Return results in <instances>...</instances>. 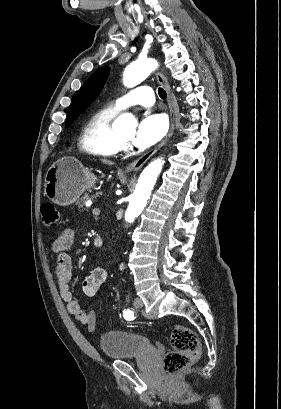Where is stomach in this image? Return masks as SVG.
<instances>
[{"mask_svg":"<svg viewBox=\"0 0 281 409\" xmlns=\"http://www.w3.org/2000/svg\"><path fill=\"white\" fill-rule=\"evenodd\" d=\"M98 180L90 168L75 156H62L53 162L45 176V194L55 205H72L84 190L93 188Z\"/></svg>","mask_w":281,"mask_h":409,"instance_id":"stomach-1","label":"stomach"}]
</instances>
